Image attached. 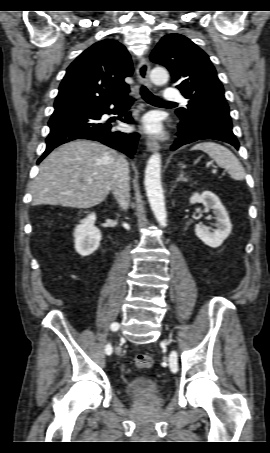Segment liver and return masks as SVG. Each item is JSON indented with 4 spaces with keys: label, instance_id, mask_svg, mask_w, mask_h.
I'll use <instances>...</instances> for the list:
<instances>
[{
    "label": "liver",
    "instance_id": "6515ba94",
    "mask_svg": "<svg viewBox=\"0 0 270 453\" xmlns=\"http://www.w3.org/2000/svg\"><path fill=\"white\" fill-rule=\"evenodd\" d=\"M118 157L115 151L97 142L76 140L64 144L40 164L32 184V205L81 209L100 204L112 189Z\"/></svg>",
    "mask_w": 270,
    "mask_h": 453
}]
</instances>
